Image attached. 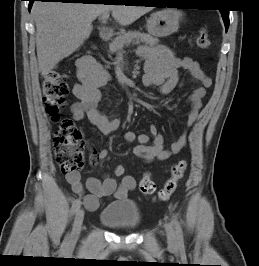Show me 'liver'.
I'll list each match as a JSON object with an SVG mask.
<instances>
[{
    "label": "liver",
    "mask_w": 259,
    "mask_h": 266,
    "mask_svg": "<svg viewBox=\"0 0 259 266\" xmlns=\"http://www.w3.org/2000/svg\"><path fill=\"white\" fill-rule=\"evenodd\" d=\"M149 11L151 8L145 6L35 2L32 14L41 75H47L89 38L92 22L101 14L112 12L120 25L127 26Z\"/></svg>",
    "instance_id": "liver-1"
}]
</instances>
